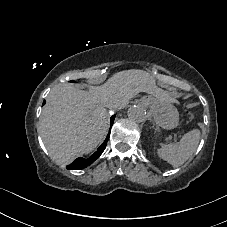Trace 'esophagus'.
<instances>
[{"label": "esophagus", "mask_w": 227, "mask_h": 227, "mask_svg": "<svg viewBox=\"0 0 227 227\" xmlns=\"http://www.w3.org/2000/svg\"><path fill=\"white\" fill-rule=\"evenodd\" d=\"M138 104L140 106H146L148 104V99L146 97H140L138 99Z\"/></svg>", "instance_id": "esophagus-1"}]
</instances>
